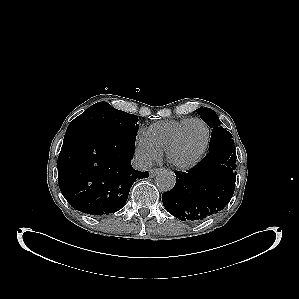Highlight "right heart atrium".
I'll return each instance as SVG.
<instances>
[{"instance_id":"d8ad5b80","label":"right heart atrium","mask_w":299,"mask_h":299,"mask_svg":"<svg viewBox=\"0 0 299 299\" xmlns=\"http://www.w3.org/2000/svg\"><path fill=\"white\" fill-rule=\"evenodd\" d=\"M135 155L141 165H147L151 161L157 159L160 152L152 147L143 135H139L136 141Z\"/></svg>"}]
</instances>
